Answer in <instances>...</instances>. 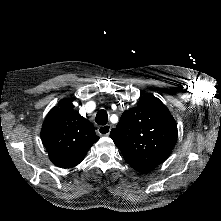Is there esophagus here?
Wrapping results in <instances>:
<instances>
[{"mask_svg": "<svg viewBox=\"0 0 221 221\" xmlns=\"http://www.w3.org/2000/svg\"><path fill=\"white\" fill-rule=\"evenodd\" d=\"M110 131H111L110 124L99 126L97 129V132L100 136H108L110 134Z\"/></svg>", "mask_w": 221, "mask_h": 221, "instance_id": "obj_1", "label": "esophagus"}]
</instances>
